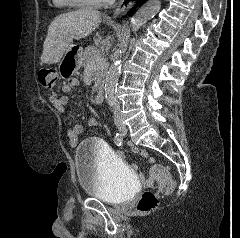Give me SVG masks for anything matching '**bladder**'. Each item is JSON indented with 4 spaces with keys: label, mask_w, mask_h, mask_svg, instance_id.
<instances>
[{
    "label": "bladder",
    "mask_w": 240,
    "mask_h": 238,
    "mask_svg": "<svg viewBox=\"0 0 240 238\" xmlns=\"http://www.w3.org/2000/svg\"><path fill=\"white\" fill-rule=\"evenodd\" d=\"M74 163L80 187L96 199L121 204L137 190L131 167L101 140L83 141L75 151Z\"/></svg>",
    "instance_id": "31cf9c89"
}]
</instances>
